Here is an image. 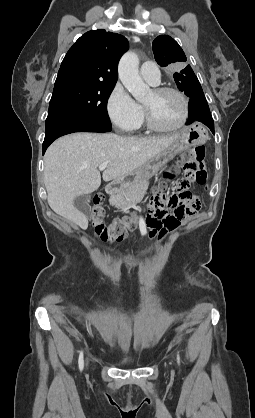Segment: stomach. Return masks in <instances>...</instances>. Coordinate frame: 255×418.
<instances>
[{"mask_svg":"<svg viewBox=\"0 0 255 418\" xmlns=\"http://www.w3.org/2000/svg\"><path fill=\"white\" fill-rule=\"evenodd\" d=\"M207 139L208 133L200 124L196 123L183 128L178 139L171 146L152 157L129 177L122 178L123 185L127 187L139 180L154 176L178 153L191 146L204 144Z\"/></svg>","mask_w":255,"mask_h":418,"instance_id":"0dacf381","label":"stomach"}]
</instances>
